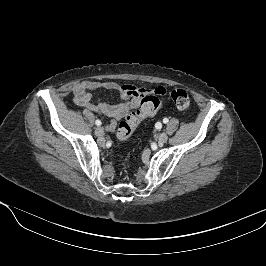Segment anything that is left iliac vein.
Masks as SVG:
<instances>
[{"label": "left iliac vein", "instance_id": "left-iliac-vein-1", "mask_svg": "<svg viewBox=\"0 0 266 266\" xmlns=\"http://www.w3.org/2000/svg\"><path fill=\"white\" fill-rule=\"evenodd\" d=\"M167 140H168L167 134L166 133H161L159 135V138H158V143L162 145V144L166 143Z\"/></svg>", "mask_w": 266, "mask_h": 266}]
</instances>
